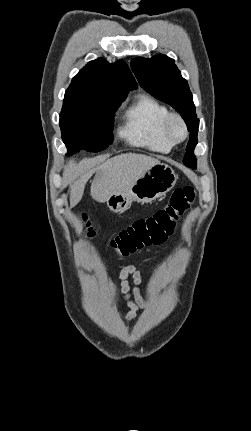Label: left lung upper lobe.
<instances>
[{
	"instance_id": "left-lung-upper-lobe-1",
	"label": "left lung upper lobe",
	"mask_w": 251,
	"mask_h": 431,
	"mask_svg": "<svg viewBox=\"0 0 251 431\" xmlns=\"http://www.w3.org/2000/svg\"><path fill=\"white\" fill-rule=\"evenodd\" d=\"M139 84L157 99L174 107L182 116L190 131L183 163L196 168L194 148L197 144L199 119L195 112L192 93L181 76L174 60L158 54L152 58L137 57L131 63Z\"/></svg>"
}]
</instances>
